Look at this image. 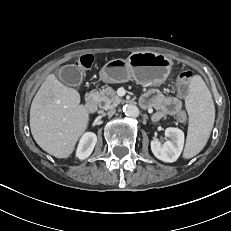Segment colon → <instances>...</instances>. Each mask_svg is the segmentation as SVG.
Segmentation results:
<instances>
[{"mask_svg":"<svg viewBox=\"0 0 231 231\" xmlns=\"http://www.w3.org/2000/svg\"><path fill=\"white\" fill-rule=\"evenodd\" d=\"M94 58L92 55H83L77 60V66L82 69H88L92 66ZM193 77V73L189 70L183 71L177 77V88L181 95H186L189 90V84ZM179 121L186 120V114L181 112L178 116Z\"/></svg>","mask_w":231,"mask_h":231,"instance_id":"colon-1","label":"colon"}]
</instances>
